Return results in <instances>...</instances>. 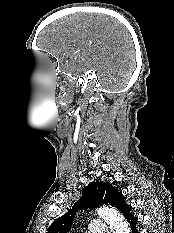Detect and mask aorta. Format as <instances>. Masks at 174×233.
<instances>
[{"label": "aorta", "mask_w": 174, "mask_h": 233, "mask_svg": "<svg viewBox=\"0 0 174 233\" xmlns=\"http://www.w3.org/2000/svg\"><path fill=\"white\" fill-rule=\"evenodd\" d=\"M97 213L108 222L113 233H130L128 223L116 209L103 206L97 209Z\"/></svg>", "instance_id": "1"}]
</instances>
